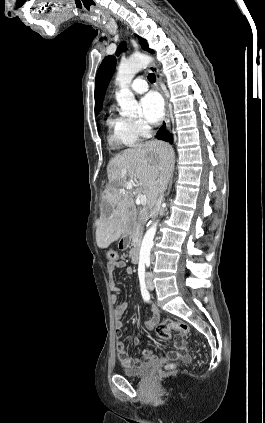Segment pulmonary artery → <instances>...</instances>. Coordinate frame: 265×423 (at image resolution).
Wrapping results in <instances>:
<instances>
[{"instance_id":"pulmonary-artery-1","label":"pulmonary artery","mask_w":265,"mask_h":423,"mask_svg":"<svg viewBox=\"0 0 265 423\" xmlns=\"http://www.w3.org/2000/svg\"><path fill=\"white\" fill-rule=\"evenodd\" d=\"M130 88L134 93L142 94L148 90V85L143 78H137L132 82Z\"/></svg>"}]
</instances>
